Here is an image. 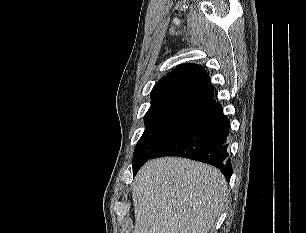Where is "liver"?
<instances>
[{
  "label": "liver",
  "mask_w": 306,
  "mask_h": 233,
  "mask_svg": "<svg viewBox=\"0 0 306 233\" xmlns=\"http://www.w3.org/2000/svg\"><path fill=\"white\" fill-rule=\"evenodd\" d=\"M218 169L165 157L149 160L134 180L133 233H209L226 202Z\"/></svg>",
  "instance_id": "liver-1"
}]
</instances>
